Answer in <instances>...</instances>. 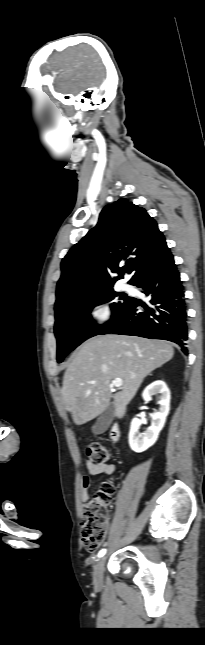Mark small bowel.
<instances>
[{
	"instance_id": "obj_1",
	"label": "small bowel",
	"mask_w": 205,
	"mask_h": 645,
	"mask_svg": "<svg viewBox=\"0 0 205 645\" xmlns=\"http://www.w3.org/2000/svg\"><path fill=\"white\" fill-rule=\"evenodd\" d=\"M87 472L92 475H110L115 471V465L112 463H105L102 465H95L91 462H87L86 465ZM92 485V479L89 475H84L82 477V499L85 501L89 498V489Z\"/></svg>"
}]
</instances>
